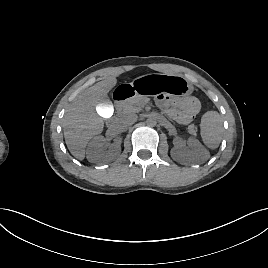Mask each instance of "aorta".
Returning <instances> with one entry per match:
<instances>
[{"label": "aorta", "mask_w": 268, "mask_h": 268, "mask_svg": "<svg viewBox=\"0 0 268 268\" xmlns=\"http://www.w3.org/2000/svg\"><path fill=\"white\" fill-rule=\"evenodd\" d=\"M157 121H158V118L156 115H150L146 120V124L148 126L154 127V126H156Z\"/></svg>", "instance_id": "aorta-1"}]
</instances>
